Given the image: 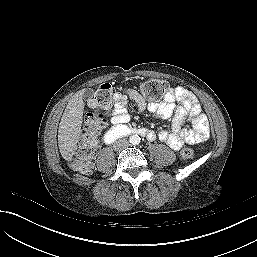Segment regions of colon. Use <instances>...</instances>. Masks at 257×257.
<instances>
[{"mask_svg": "<svg viewBox=\"0 0 257 257\" xmlns=\"http://www.w3.org/2000/svg\"><path fill=\"white\" fill-rule=\"evenodd\" d=\"M168 85L163 80L150 79L141 85V93L149 102L159 101ZM115 90L109 84L100 86L88 101L92 109L91 116L87 119L83 140L71 160V167L83 173L91 171L92 158L96 151L97 138L106 124V115L113 109ZM183 160H191L195 156V150L191 147L184 148L180 154Z\"/></svg>", "mask_w": 257, "mask_h": 257, "instance_id": "5ec220e1", "label": "colon"}]
</instances>
